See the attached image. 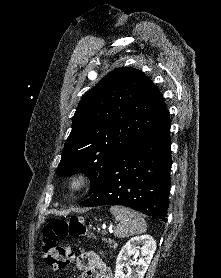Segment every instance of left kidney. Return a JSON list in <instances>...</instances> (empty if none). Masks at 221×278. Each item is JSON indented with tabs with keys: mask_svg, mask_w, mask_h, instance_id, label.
<instances>
[{
	"mask_svg": "<svg viewBox=\"0 0 221 278\" xmlns=\"http://www.w3.org/2000/svg\"><path fill=\"white\" fill-rule=\"evenodd\" d=\"M140 250V259L126 263L127 257L138 253ZM156 250V241L150 235H141L132 237L121 249L116 260V269L114 278H143ZM134 265V271L128 269L125 274V266Z\"/></svg>",
	"mask_w": 221,
	"mask_h": 278,
	"instance_id": "obj_1",
	"label": "left kidney"
}]
</instances>
